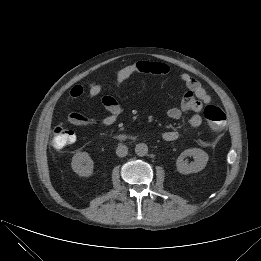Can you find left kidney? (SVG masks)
<instances>
[{"mask_svg": "<svg viewBox=\"0 0 261 261\" xmlns=\"http://www.w3.org/2000/svg\"><path fill=\"white\" fill-rule=\"evenodd\" d=\"M187 156H193L195 161L188 164L186 161H184V158ZM208 159V154L202 149H186L180 154L176 161L177 171L184 175L197 173L206 167Z\"/></svg>", "mask_w": 261, "mask_h": 261, "instance_id": "1", "label": "left kidney"}]
</instances>
